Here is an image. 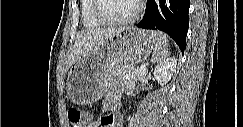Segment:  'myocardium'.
I'll list each match as a JSON object with an SVG mask.
<instances>
[{
	"mask_svg": "<svg viewBox=\"0 0 243 127\" xmlns=\"http://www.w3.org/2000/svg\"><path fill=\"white\" fill-rule=\"evenodd\" d=\"M143 10V1L142 0H136V9L134 13L128 17L122 18V19H113L110 17H107L101 8V0H94V15L95 17L100 20L102 23L106 25H125L130 24L134 21H136Z\"/></svg>",
	"mask_w": 243,
	"mask_h": 127,
	"instance_id": "obj_1",
	"label": "myocardium"
}]
</instances>
